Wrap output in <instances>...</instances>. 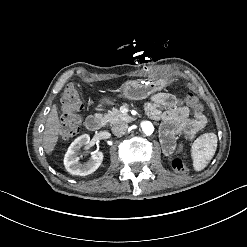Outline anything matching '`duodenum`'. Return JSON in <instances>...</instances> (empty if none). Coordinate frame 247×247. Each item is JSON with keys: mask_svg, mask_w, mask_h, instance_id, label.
I'll return each mask as SVG.
<instances>
[{"mask_svg": "<svg viewBox=\"0 0 247 247\" xmlns=\"http://www.w3.org/2000/svg\"><path fill=\"white\" fill-rule=\"evenodd\" d=\"M103 123H104V119L100 115H92L89 118H87L85 122L86 127L92 131H97L100 128H102Z\"/></svg>", "mask_w": 247, "mask_h": 247, "instance_id": "410a0bca", "label": "duodenum"}]
</instances>
